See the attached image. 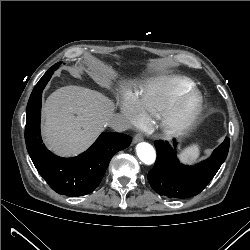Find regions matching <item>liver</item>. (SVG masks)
<instances>
[{
	"label": "liver",
	"instance_id": "liver-1",
	"mask_svg": "<svg viewBox=\"0 0 250 250\" xmlns=\"http://www.w3.org/2000/svg\"><path fill=\"white\" fill-rule=\"evenodd\" d=\"M113 112L111 100L98 91L61 87L44 104V141L59 155H76L94 142Z\"/></svg>",
	"mask_w": 250,
	"mask_h": 250
}]
</instances>
